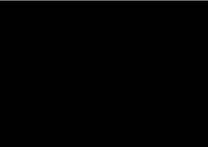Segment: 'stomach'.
I'll use <instances>...</instances> for the list:
<instances>
[{
    "mask_svg": "<svg viewBox=\"0 0 208 147\" xmlns=\"http://www.w3.org/2000/svg\"><path fill=\"white\" fill-rule=\"evenodd\" d=\"M119 46L129 63H141L146 58V44L136 31H128L122 34Z\"/></svg>",
    "mask_w": 208,
    "mask_h": 147,
    "instance_id": "0dacf381",
    "label": "stomach"
}]
</instances>
